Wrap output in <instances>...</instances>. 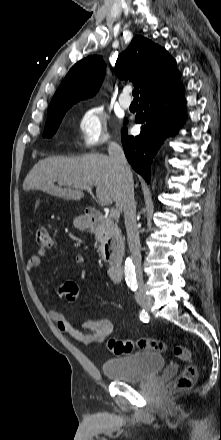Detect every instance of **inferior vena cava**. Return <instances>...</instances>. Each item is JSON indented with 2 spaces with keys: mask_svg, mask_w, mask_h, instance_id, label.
Returning a JSON list of instances; mask_svg holds the SVG:
<instances>
[{
  "mask_svg": "<svg viewBox=\"0 0 221 440\" xmlns=\"http://www.w3.org/2000/svg\"><path fill=\"white\" fill-rule=\"evenodd\" d=\"M109 159L120 183V203L124 212L127 241L137 277L138 296L142 295L143 273L141 268L140 239L136 223V202L134 198V182L130 166L127 163L122 147L111 142L108 148Z\"/></svg>",
  "mask_w": 221,
  "mask_h": 440,
  "instance_id": "inferior-vena-cava-1",
  "label": "inferior vena cava"
}]
</instances>
